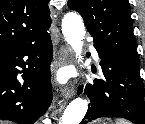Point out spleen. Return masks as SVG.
<instances>
[{
  "label": "spleen",
  "mask_w": 145,
  "mask_h": 124,
  "mask_svg": "<svg viewBox=\"0 0 145 124\" xmlns=\"http://www.w3.org/2000/svg\"><path fill=\"white\" fill-rule=\"evenodd\" d=\"M116 124H129V122L122 120V119H117Z\"/></svg>",
  "instance_id": "obj_1"
}]
</instances>
